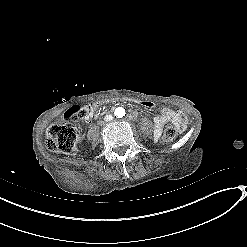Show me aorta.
Here are the masks:
<instances>
[{"label":"aorta","mask_w":247,"mask_h":247,"mask_svg":"<svg viewBox=\"0 0 247 247\" xmlns=\"http://www.w3.org/2000/svg\"><path fill=\"white\" fill-rule=\"evenodd\" d=\"M114 114L117 118H122L125 116V109L122 107H118L115 109Z\"/></svg>","instance_id":"762f6f07"}]
</instances>
